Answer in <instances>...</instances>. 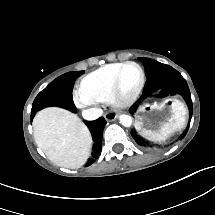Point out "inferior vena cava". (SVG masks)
<instances>
[{"label": "inferior vena cava", "instance_id": "inferior-vena-cava-1", "mask_svg": "<svg viewBox=\"0 0 215 215\" xmlns=\"http://www.w3.org/2000/svg\"><path fill=\"white\" fill-rule=\"evenodd\" d=\"M103 110L101 108H89L82 111V116L85 120H96L101 117Z\"/></svg>", "mask_w": 215, "mask_h": 215}]
</instances>
